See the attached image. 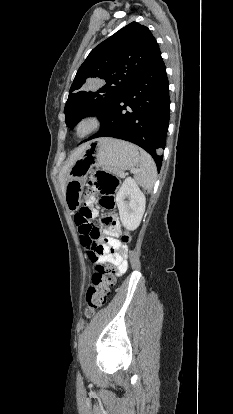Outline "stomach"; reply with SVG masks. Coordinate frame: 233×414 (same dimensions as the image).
<instances>
[{
  "label": "stomach",
  "mask_w": 233,
  "mask_h": 414,
  "mask_svg": "<svg viewBox=\"0 0 233 414\" xmlns=\"http://www.w3.org/2000/svg\"><path fill=\"white\" fill-rule=\"evenodd\" d=\"M141 156L137 146L112 138H100L88 143L83 156L70 168L65 186L68 207L74 210L81 200L85 177L93 167L112 172L132 169L139 165Z\"/></svg>",
  "instance_id": "1"
}]
</instances>
